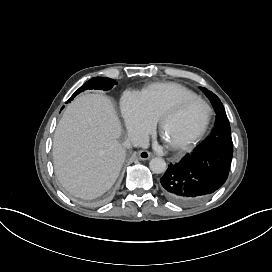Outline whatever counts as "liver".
Here are the masks:
<instances>
[{
    "instance_id": "6515ba94",
    "label": "liver",
    "mask_w": 272,
    "mask_h": 272,
    "mask_svg": "<svg viewBox=\"0 0 272 272\" xmlns=\"http://www.w3.org/2000/svg\"><path fill=\"white\" fill-rule=\"evenodd\" d=\"M121 122L110 98L86 94L66 107L54 133L53 162L62 186L73 196L95 199L119 176L125 149Z\"/></svg>"
}]
</instances>
